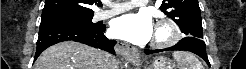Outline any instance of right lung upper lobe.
Listing matches in <instances>:
<instances>
[{
  "label": "right lung upper lobe",
  "instance_id": "right-lung-upper-lobe-1",
  "mask_svg": "<svg viewBox=\"0 0 246 69\" xmlns=\"http://www.w3.org/2000/svg\"><path fill=\"white\" fill-rule=\"evenodd\" d=\"M95 0H46L42 17L60 14H93Z\"/></svg>",
  "mask_w": 246,
  "mask_h": 69
}]
</instances>
